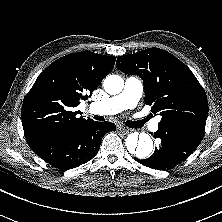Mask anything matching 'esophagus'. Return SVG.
<instances>
[{
    "mask_svg": "<svg viewBox=\"0 0 222 222\" xmlns=\"http://www.w3.org/2000/svg\"><path fill=\"white\" fill-rule=\"evenodd\" d=\"M118 131L120 133L129 134V133L132 132V129H129V128L124 127V126H118Z\"/></svg>",
    "mask_w": 222,
    "mask_h": 222,
    "instance_id": "obj_1",
    "label": "esophagus"
}]
</instances>
